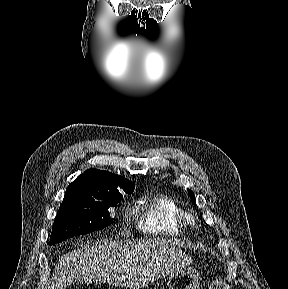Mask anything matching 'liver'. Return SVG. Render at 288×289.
Here are the masks:
<instances>
[{"label": "liver", "instance_id": "1", "mask_svg": "<svg viewBox=\"0 0 288 289\" xmlns=\"http://www.w3.org/2000/svg\"><path fill=\"white\" fill-rule=\"evenodd\" d=\"M192 262L170 241H103L61 256L50 289H65L70 275L86 283L140 289Z\"/></svg>", "mask_w": 288, "mask_h": 289}]
</instances>
